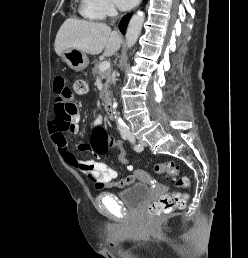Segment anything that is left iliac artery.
<instances>
[{
  "instance_id": "1",
  "label": "left iliac artery",
  "mask_w": 248,
  "mask_h": 258,
  "mask_svg": "<svg viewBox=\"0 0 248 258\" xmlns=\"http://www.w3.org/2000/svg\"><path fill=\"white\" fill-rule=\"evenodd\" d=\"M128 140L134 145V150L137 152H141L143 150V147L140 144H136V140L134 135H129Z\"/></svg>"
}]
</instances>
